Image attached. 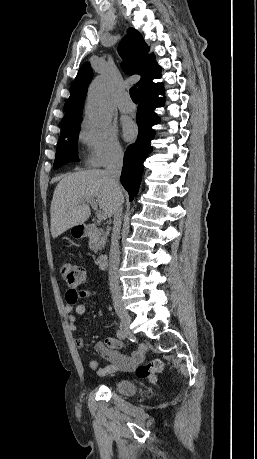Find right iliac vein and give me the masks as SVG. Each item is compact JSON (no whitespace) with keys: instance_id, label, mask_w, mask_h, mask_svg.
<instances>
[{"instance_id":"63e3f726","label":"right iliac vein","mask_w":257,"mask_h":459,"mask_svg":"<svg viewBox=\"0 0 257 459\" xmlns=\"http://www.w3.org/2000/svg\"><path fill=\"white\" fill-rule=\"evenodd\" d=\"M116 311H117V315H118V317L120 318V321H121V327L125 331L129 332V326H130V323H131V317H130L128 311L125 310L121 306L117 307Z\"/></svg>"}]
</instances>
